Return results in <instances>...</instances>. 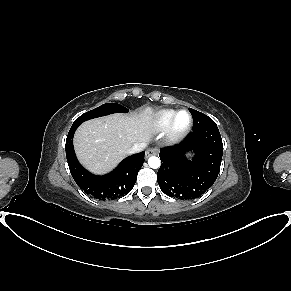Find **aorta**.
I'll return each instance as SVG.
<instances>
[{
	"label": "aorta",
	"mask_w": 291,
	"mask_h": 291,
	"mask_svg": "<svg viewBox=\"0 0 291 291\" xmlns=\"http://www.w3.org/2000/svg\"><path fill=\"white\" fill-rule=\"evenodd\" d=\"M148 164L151 168H154V169H157L160 167L161 165V161L158 157L156 156H151L149 159H148Z\"/></svg>",
	"instance_id": "aorta-1"
}]
</instances>
